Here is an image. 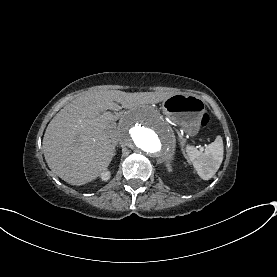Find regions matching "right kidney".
<instances>
[{
	"label": "right kidney",
	"instance_id": "ca27d5eb",
	"mask_svg": "<svg viewBox=\"0 0 277 277\" xmlns=\"http://www.w3.org/2000/svg\"><path fill=\"white\" fill-rule=\"evenodd\" d=\"M102 179L103 180H108L109 179V173L108 172H103Z\"/></svg>",
	"mask_w": 277,
	"mask_h": 277
}]
</instances>
